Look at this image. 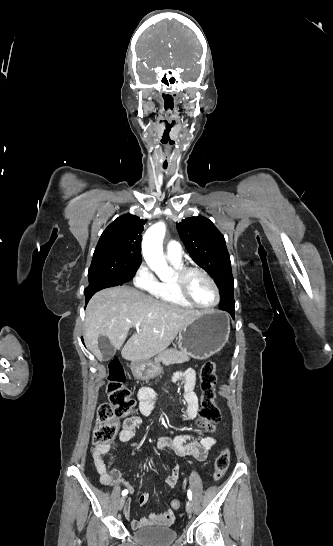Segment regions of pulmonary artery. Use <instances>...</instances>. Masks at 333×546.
Wrapping results in <instances>:
<instances>
[{
	"instance_id": "obj_1",
	"label": "pulmonary artery",
	"mask_w": 333,
	"mask_h": 546,
	"mask_svg": "<svg viewBox=\"0 0 333 546\" xmlns=\"http://www.w3.org/2000/svg\"><path fill=\"white\" fill-rule=\"evenodd\" d=\"M182 248L178 241L172 240L166 246V257L170 261L182 262Z\"/></svg>"
}]
</instances>
